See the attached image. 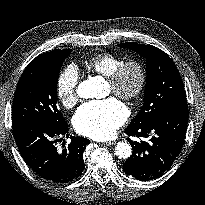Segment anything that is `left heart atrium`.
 Here are the masks:
<instances>
[{"label": "left heart atrium", "mask_w": 205, "mask_h": 205, "mask_svg": "<svg viewBox=\"0 0 205 205\" xmlns=\"http://www.w3.org/2000/svg\"><path fill=\"white\" fill-rule=\"evenodd\" d=\"M127 116L126 106L111 97L82 105L74 116V126L84 136L104 140L115 134Z\"/></svg>", "instance_id": "left-heart-atrium-1"}]
</instances>
